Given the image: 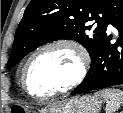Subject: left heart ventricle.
I'll return each instance as SVG.
<instances>
[{"mask_svg": "<svg viewBox=\"0 0 123 113\" xmlns=\"http://www.w3.org/2000/svg\"><path fill=\"white\" fill-rule=\"evenodd\" d=\"M74 53L67 48H54L37 56L26 73V86L31 93L47 94L70 80L76 72Z\"/></svg>", "mask_w": 123, "mask_h": 113, "instance_id": "left-heart-ventricle-1", "label": "left heart ventricle"}]
</instances>
